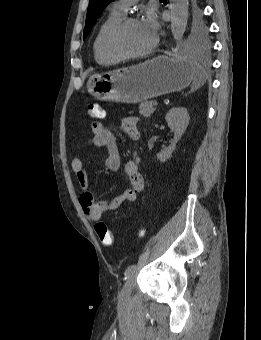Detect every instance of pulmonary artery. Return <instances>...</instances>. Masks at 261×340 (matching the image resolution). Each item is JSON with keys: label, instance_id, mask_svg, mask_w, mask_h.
Returning <instances> with one entry per match:
<instances>
[{"label": "pulmonary artery", "instance_id": "1", "mask_svg": "<svg viewBox=\"0 0 261 340\" xmlns=\"http://www.w3.org/2000/svg\"><path fill=\"white\" fill-rule=\"evenodd\" d=\"M137 0H118L113 3L112 10L117 11L121 14H126L130 5H132Z\"/></svg>", "mask_w": 261, "mask_h": 340}]
</instances>
